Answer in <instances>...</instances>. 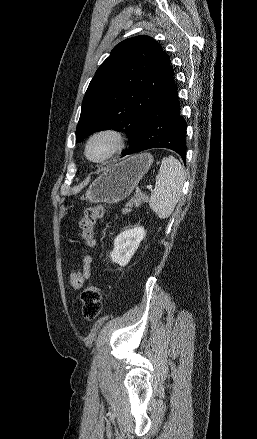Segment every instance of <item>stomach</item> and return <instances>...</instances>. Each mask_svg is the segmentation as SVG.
Wrapping results in <instances>:
<instances>
[{"mask_svg":"<svg viewBox=\"0 0 257 439\" xmlns=\"http://www.w3.org/2000/svg\"><path fill=\"white\" fill-rule=\"evenodd\" d=\"M149 153L131 156L106 169L86 191L91 203L115 204L127 198L152 165Z\"/></svg>","mask_w":257,"mask_h":439,"instance_id":"1","label":"stomach"}]
</instances>
